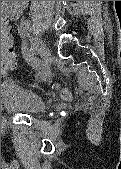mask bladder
<instances>
[{
    "instance_id": "31cf9c89",
    "label": "bladder",
    "mask_w": 121,
    "mask_h": 169,
    "mask_svg": "<svg viewBox=\"0 0 121 169\" xmlns=\"http://www.w3.org/2000/svg\"><path fill=\"white\" fill-rule=\"evenodd\" d=\"M1 105L10 114L29 116H36L47 108L42 97L10 79L1 83Z\"/></svg>"
}]
</instances>
